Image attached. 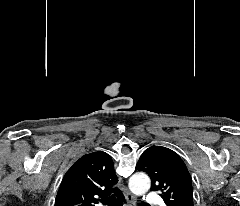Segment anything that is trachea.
Returning <instances> with one entry per match:
<instances>
[{"mask_svg":"<svg viewBox=\"0 0 240 206\" xmlns=\"http://www.w3.org/2000/svg\"><path fill=\"white\" fill-rule=\"evenodd\" d=\"M101 202L107 206H121L114 196L105 197L101 200Z\"/></svg>","mask_w":240,"mask_h":206,"instance_id":"trachea-1","label":"trachea"}]
</instances>
